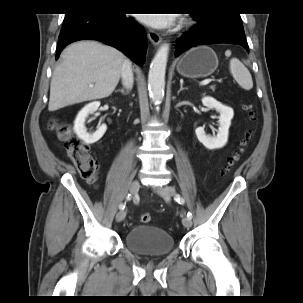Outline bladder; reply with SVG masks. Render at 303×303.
Segmentation results:
<instances>
[{
	"label": "bladder",
	"instance_id": "obj_1",
	"mask_svg": "<svg viewBox=\"0 0 303 303\" xmlns=\"http://www.w3.org/2000/svg\"><path fill=\"white\" fill-rule=\"evenodd\" d=\"M127 249L143 257L168 255L175 248L172 235L152 225H136L125 235Z\"/></svg>",
	"mask_w": 303,
	"mask_h": 303
}]
</instances>
